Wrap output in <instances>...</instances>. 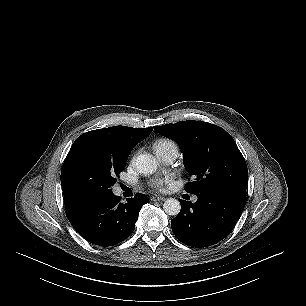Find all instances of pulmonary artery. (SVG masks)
Listing matches in <instances>:
<instances>
[{"label": "pulmonary artery", "instance_id": "1", "mask_svg": "<svg viewBox=\"0 0 306 306\" xmlns=\"http://www.w3.org/2000/svg\"><path fill=\"white\" fill-rule=\"evenodd\" d=\"M178 156V149L177 148H171L168 151H166L164 154H162L161 158L166 163H172ZM193 201H196V198H193Z\"/></svg>", "mask_w": 306, "mask_h": 306}]
</instances>
